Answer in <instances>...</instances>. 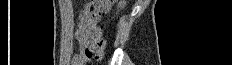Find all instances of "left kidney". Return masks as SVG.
Masks as SVG:
<instances>
[{
    "label": "left kidney",
    "mask_w": 232,
    "mask_h": 65,
    "mask_svg": "<svg viewBox=\"0 0 232 65\" xmlns=\"http://www.w3.org/2000/svg\"><path fill=\"white\" fill-rule=\"evenodd\" d=\"M124 6H125V2L124 1H121V2H119V4H118V8H124Z\"/></svg>",
    "instance_id": "left-kidney-1"
}]
</instances>
